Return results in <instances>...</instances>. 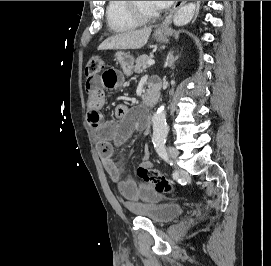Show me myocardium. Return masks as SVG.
<instances>
[{"instance_id":"obj_1","label":"myocardium","mask_w":271,"mask_h":266,"mask_svg":"<svg viewBox=\"0 0 271 266\" xmlns=\"http://www.w3.org/2000/svg\"><path fill=\"white\" fill-rule=\"evenodd\" d=\"M124 2L125 8L130 17L133 18L139 24L150 23L159 18V13L153 15H146L143 12H141L136 6V1H124Z\"/></svg>"}]
</instances>
